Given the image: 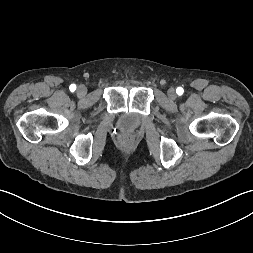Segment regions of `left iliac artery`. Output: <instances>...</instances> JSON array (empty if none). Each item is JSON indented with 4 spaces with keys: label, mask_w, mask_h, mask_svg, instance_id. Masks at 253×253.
I'll use <instances>...</instances> for the list:
<instances>
[{
    "label": "left iliac artery",
    "mask_w": 253,
    "mask_h": 253,
    "mask_svg": "<svg viewBox=\"0 0 253 253\" xmlns=\"http://www.w3.org/2000/svg\"><path fill=\"white\" fill-rule=\"evenodd\" d=\"M183 92H184V90H183L182 87H178V88L176 89V93H177L178 95H182Z\"/></svg>",
    "instance_id": "left-iliac-artery-1"
}]
</instances>
